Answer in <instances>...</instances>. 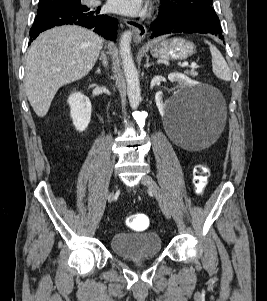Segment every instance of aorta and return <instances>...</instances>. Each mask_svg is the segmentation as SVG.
<instances>
[{
    "mask_svg": "<svg viewBox=\"0 0 267 301\" xmlns=\"http://www.w3.org/2000/svg\"><path fill=\"white\" fill-rule=\"evenodd\" d=\"M132 32L125 31L120 39L119 52L122 58L123 71L127 83V95L132 109H137L141 101L140 82L137 69L131 54Z\"/></svg>",
    "mask_w": 267,
    "mask_h": 301,
    "instance_id": "1",
    "label": "aorta"
}]
</instances>
